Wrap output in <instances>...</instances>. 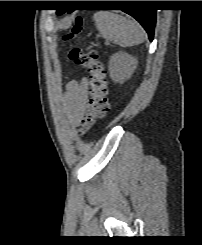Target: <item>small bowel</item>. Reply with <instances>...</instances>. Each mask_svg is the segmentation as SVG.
Returning a JSON list of instances; mask_svg holds the SVG:
<instances>
[{
    "label": "small bowel",
    "instance_id": "small-bowel-1",
    "mask_svg": "<svg viewBox=\"0 0 202 245\" xmlns=\"http://www.w3.org/2000/svg\"><path fill=\"white\" fill-rule=\"evenodd\" d=\"M87 80H71L66 85V99L74 106L81 107L86 95Z\"/></svg>",
    "mask_w": 202,
    "mask_h": 245
}]
</instances>
